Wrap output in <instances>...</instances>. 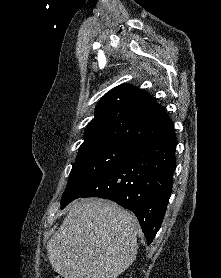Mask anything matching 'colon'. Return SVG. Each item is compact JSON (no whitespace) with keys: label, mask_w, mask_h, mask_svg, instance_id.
<instances>
[{"label":"colon","mask_w":221,"mask_h":278,"mask_svg":"<svg viewBox=\"0 0 221 278\" xmlns=\"http://www.w3.org/2000/svg\"><path fill=\"white\" fill-rule=\"evenodd\" d=\"M55 278H64V277L61 275H57Z\"/></svg>","instance_id":"colon-1"}]
</instances>
